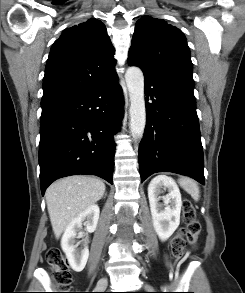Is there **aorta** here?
I'll list each match as a JSON object with an SVG mask.
<instances>
[{
    "mask_svg": "<svg viewBox=\"0 0 245 293\" xmlns=\"http://www.w3.org/2000/svg\"><path fill=\"white\" fill-rule=\"evenodd\" d=\"M130 97V131L134 139L141 138L146 124L144 76L139 67H129L125 73Z\"/></svg>",
    "mask_w": 245,
    "mask_h": 293,
    "instance_id": "obj_1",
    "label": "aorta"
}]
</instances>
